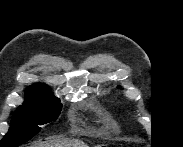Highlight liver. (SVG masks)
<instances>
[{"label":"liver","mask_w":183,"mask_h":147,"mask_svg":"<svg viewBox=\"0 0 183 147\" xmlns=\"http://www.w3.org/2000/svg\"><path fill=\"white\" fill-rule=\"evenodd\" d=\"M34 147H88V146L80 140L64 139V140H52L50 142L35 144Z\"/></svg>","instance_id":"obj_1"}]
</instances>
